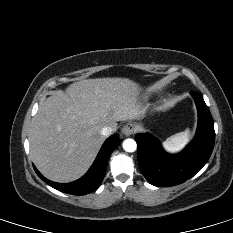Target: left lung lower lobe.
I'll list each match as a JSON object with an SVG mask.
<instances>
[{
    "instance_id": "obj_1",
    "label": "left lung lower lobe",
    "mask_w": 233,
    "mask_h": 233,
    "mask_svg": "<svg viewBox=\"0 0 233 233\" xmlns=\"http://www.w3.org/2000/svg\"><path fill=\"white\" fill-rule=\"evenodd\" d=\"M198 110V129L193 142L178 155L166 154L150 134H138V163L146 180L155 186L169 187L185 182L207 163L215 141L214 123L203 97L191 92Z\"/></svg>"
}]
</instances>
